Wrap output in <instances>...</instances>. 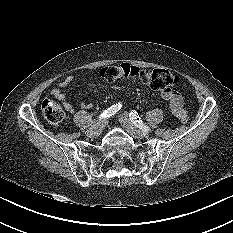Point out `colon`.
Returning <instances> with one entry per match:
<instances>
[{
  "instance_id": "colon-1",
  "label": "colon",
  "mask_w": 233,
  "mask_h": 233,
  "mask_svg": "<svg viewBox=\"0 0 233 233\" xmlns=\"http://www.w3.org/2000/svg\"><path fill=\"white\" fill-rule=\"evenodd\" d=\"M100 76L108 82L131 80L135 83L148 85L158 91H174L179 78L165 69L143 70L127 63L104 67ZM44 119L54 126H59L65 119L62 107L51 99H45L41 104ZM187 122V117L181 119Z\"/></svg>"
}]
</instances>
